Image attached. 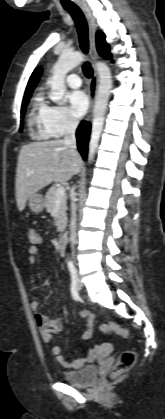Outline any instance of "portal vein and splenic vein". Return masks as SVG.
<instances>
[{"mask_svg": "<svg viewBox=\"0 0 165 419\" xmlns=\"http://www.w3.org/2000/svg\"><path fill=\"white\" fill-rule=\"evenodd\" d=\"M64 195H65V188L63 186L58 187L56 190L57 201H59Z\"/></svg>", "mask_w": 165, "mask_h": 419, "instance_id": "portal-vein-and-splenic-vein-1", "label": "portal vein and splenic vein"}]
</instances>
